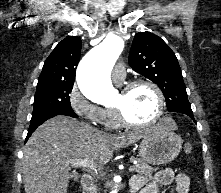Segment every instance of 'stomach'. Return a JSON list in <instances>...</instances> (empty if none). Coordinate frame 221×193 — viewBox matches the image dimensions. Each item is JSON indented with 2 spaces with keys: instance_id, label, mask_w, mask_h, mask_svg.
I'll use <instances>...</instances> for the list:
<instances>
[{
  "instance_id": "stomach-1",
  "label": "stomach",
  "mask_w": 221,
  "mask_h": 193,
  "mask_svg": "<svg viewBox=\"0 0 221 193\" xmlns=\"http://www.w3.org/2000/svg\"><path fill=\"white\" fill-rule=\"evenodd\" d=\"M182 147V139L174 129L162 121L153 126L143 136L139 146V156L143 161L153 165H163L174 160Z\"/></svg>"
}]
</instances>
